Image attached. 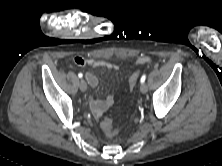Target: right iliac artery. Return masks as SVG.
Returning <instances> with one entry per match:
<instances>
[{
    "label": "right iliac artery",
    "mask_w": 222,
    "mask_h": 166,
    "mask_svg": "<svg viewBox=\"0 0 222 166\" xmlns=\"http://www.w3.org/2000/svg\"><path fill=\"white\" fill-rule=\"evenodd\" d=\"M78 77H79V78H82V77H83V74H82V73H79V74H78Z\"/></svg>",
    "instance_id": "82829eb1"
}]
</instances>
